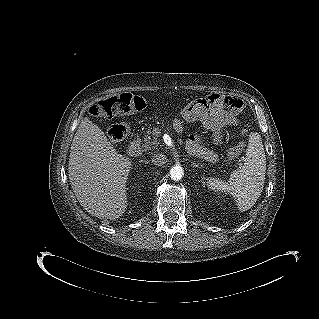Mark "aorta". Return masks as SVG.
I'll list each match as a JSON object with an SVG mask.
<instances>
[{
    "mask_svg": "<svg viewBox=\"0 0 319 319\" xmlns=\"http://www.w3.org/2000/svg\"><path fill=\"white\" fill-rule=\"evenodd\" d=\"M184 173H183V169L181 166H173L170 169V177L172 180L174 181H178L183 177Z\"/></svg>",
    "mask_w": 319,
    "mask_h": 319,
    "instance_id": "762f6f07",
    "label": "aorta"
}]
</instances>
